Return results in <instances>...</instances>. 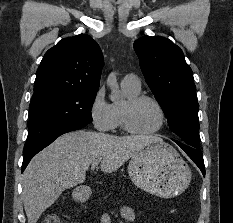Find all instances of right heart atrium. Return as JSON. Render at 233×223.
Returning <instances> with one entry per match:
<instances>
[{
    "label": "right heart atrium",
    "mask_w": 233,
    "mask_h": 223,
    "mask_svg": "<svg viewBox=\"0 0 233 223\" xmlns=\"http://www.w3.org/2000/svg\"><path fill=\"white\" fill-rule=\"evenodd\" d=\"M89 115L96 129L107 132L115 128L112 104L105 99L103 89L95 94L89 107Z\"/></svg>",
    "instance_id": "d8ad5b80"
}]
</instances>
